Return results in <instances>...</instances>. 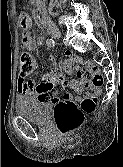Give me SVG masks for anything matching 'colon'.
Listing matches in <instances>:
<instances>
[{
    "label": "colon",
    "instance_id": "obj_1",
    "mask_svg": "<svg viewBox=\"0 0 123 167\" xmlns=\"http://www.w3.org/2000/svg\"><path fill=\"white\" fill-rule=\"evenodd\" d=\"M36 60L28 52H23L19 59L20 76L31 75L36 69ZM83 71L88 76L92 84L99 87L103 84V77L92 65L85 66ZM96 100L85 98L80 106L71 101L58 102L55 107L54 119L59 133L63 136L77 130L84 122L85 114L91 113L95 109Z\"/></svg>",
    "mask_w": 123,
    "mask_h": 167
}]
</instances>
